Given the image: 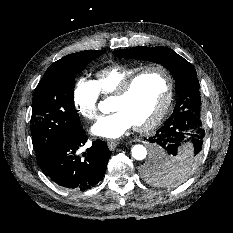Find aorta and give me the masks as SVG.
<instances>
[{
  "instance_id": "762f6f07",
  "label": "aorta",
  "mask_w": 233,
  "mask_h": 233,
  "mask_svg": "<svg viewBox=\"0 0 233 233\" xmlns=\"http://www.w3.org/2000/svg\"><path fill=\"white\" fill-rule=\"evenodd\" d=\"M105 105L104 102L100 104V108H102ZM131 154L134 159L136 160H143L147 156V149L141 145V144H136L132 147Z\"/></svg>"
}]
</instances>
